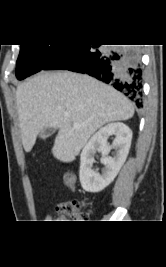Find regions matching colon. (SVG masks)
<instances>
[{
    "label": "colon",
    "mask_w": 166,
    "mask_h": 267,
    "mask_svg": "<svg viewBox=\"0 0 166 267\" xmlns=\"http://www.w3.org/2000/svg\"><path fill=\"white\" fill-rule=\"evenodd\" d=\"M66 185L68 182L75 180L73 173H68L65 177ZM84 203L77 200L62 202L57 205L58 220L56 222H69L68 220L86 217Z\"/></svg>",
    "instance_id": "obj_1"
}]
</instances>
